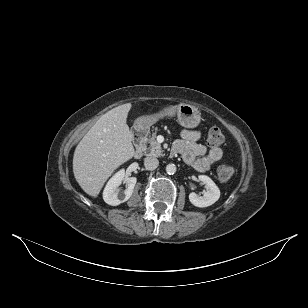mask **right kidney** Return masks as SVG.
<instances>
[{
  "label": "right kidney",
  "mask_w": 308,
  "mask_h": 308,
  "mask_svg": "<svg viewBox=\"0 0 308 308\" xmlns=\"http://www.w3.org/2000/svg\"><path fill=\"white\" fill-rule=\"evenodd\" d=\"M122 181L127 184V187L123 192H120L118 187ZM136 182V177L125 178L124 170H120L108 181L103 192L104 201L111 206L126 202L131 197Z\"/></svg>",
  "instance_id": "obj_1"
}]
</instances>
